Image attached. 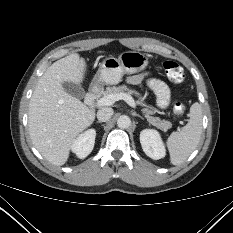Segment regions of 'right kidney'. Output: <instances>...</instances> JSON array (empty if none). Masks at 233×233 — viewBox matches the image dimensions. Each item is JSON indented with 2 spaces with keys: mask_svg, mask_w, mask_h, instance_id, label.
Segmentation results:
<instances>
[{
  "mask_svg": "<svg viewBox=\"0 0 233 233\" xmlns=\"http://www.w3.org/2000/svg\"><path fill=\"white\" fill-rule=\"evenodd\" d=\"M95 137V129H88L84 133L80 134L72 144V152L80 159L87 157L94 148Z\"/></svg>",
  "mask_w": 233,
  "mask_h": 233,
  "instance_id": "1",
  "label": "right kidney"
}]
</instances>
